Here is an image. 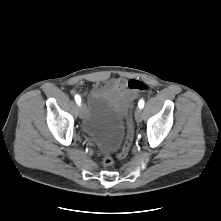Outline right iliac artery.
<instances>
[{
	"label": "right iliac artery",
	"instance_id": "obj_1",
	"mask_svg": "<svg viewBox=\"0 0 221 221\" xmlns=\"http://www.w3.org/2000/svg\"><path fill=\"white\" fill-rule=\"evenodd\" d=\"M75 101L78 105L81 103V97L79 95H75Z\"/></svg>",
	"mask_w": 221,
	"mask_h": 221
}]
</instances>
